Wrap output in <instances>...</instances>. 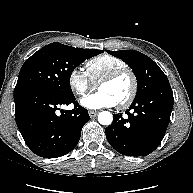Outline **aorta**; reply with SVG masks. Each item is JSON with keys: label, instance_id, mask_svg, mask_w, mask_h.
<instances>
[{"label": "aorta", "instance_id": "obj_1", "mask_svg": "<svg viewBox=\"0 0 193 193\" xmlns=\"http://www.w3.org/2000/svg\"><path fill=\"white\" fill-rule=\"evenodd\" d=\"M98 121L102 125H110L113 121V116L108 111H102L98 115Z\"/></svg>", "mask_w": 193, "mask_h": 193}]
</instances>
